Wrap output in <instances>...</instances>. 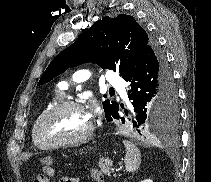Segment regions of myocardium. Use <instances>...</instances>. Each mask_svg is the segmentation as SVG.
Returning a JSON list of instances; mask_svg holds the SVG:
<instances>
[{"label": "myocardium", "mask_w": 211, "mask_h": 182, "mask_svg": "<svg viewBox=\"0 0 211 182\" xmlns=\"http://www.w3.org/2000/svg\"><path fill=\"white\" fill-rule=\"evenodd\" d=\"M70 107L78 108V109H81L86 112L85 107L81 103H79L77 101H73V100H63V101L57 102L55 105L50 107L38 118V120L35 123L34 130H33L34 140L38 147H40L42 149H53V148L62 147V146L77 145V144L84 143L91 137V135L93 134V131H94L93 120H91L87 130L82 135H80L78 137H75L72 139H67V140H59L56 142H45L44 141V139L41 136V128H42L43 124L45 123V121L49 117L54 115L55 113L65 109V108H70Z\"/></svg>", "instance_id": "obj_1"}]
</instances>
